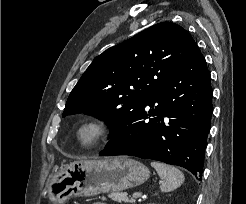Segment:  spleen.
Listing matches in <instances>:
<instances>
[{
  "label": "spleen",
  "mask_w": 246,
  "mask_h": 204,
  "mask_svg": "<svg viewBox=\"0 0 246 204\" xmlns=\"http://www.w3.org/2000/svg\"><path fill=\"white\" fill-rule=\"evenodd\" d=\"M151 166L157 171L158 175L163 180L160 185V190L162 192H170L176 189L185 179L184 174L172 165L152 161Z\"/></svg>",
  "instance_id": "3e777b00"
}]
</instances>
